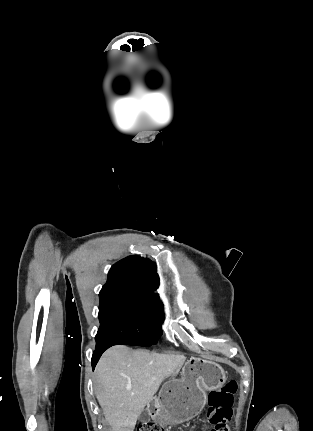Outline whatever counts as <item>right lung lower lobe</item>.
I'll return each mask as SVG.
<instances>
[{
    "label": "right lung lower lobe",
    "instance_id": "1",
    "mask_svg": "<svg viewBox=\"0 0 313 431\" xmlns=\"http://www.w3.org/2000/svg\"><path fill=\"white\" fill-rule=\"evenodd\" d=\"M113 345H115V344H102V345L96 346V349H95L93 356H92V362H91L93 370H94L99 358L101 357L102 353Z\"/></svg>",
    "mask_w": 313,
    "mask_h": 431
}]
</instances>
